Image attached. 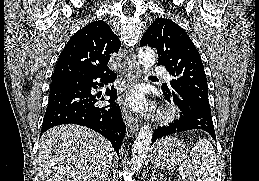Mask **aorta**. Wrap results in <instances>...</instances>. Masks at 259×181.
Wrapping results in <instances>:
<instances>
[{"label": "aorta", "instance_id": "obj_1", "mask_svg": "<svg viewBox=\"0 0 259 181\" xmlns=\"http://www.w3.org/2000/svg\"><path fill=\"white\" fill-rule=\"evenodd\" d=\"M138 60L144 70H149L155 65V52L149 47H142L138 52ZM152 129L149 124H144L136 136L132 151L131 165L134 172H139L152 142Z\"/></svg>", "mask_w": 259, "mask_h": 181}]
</instances>
